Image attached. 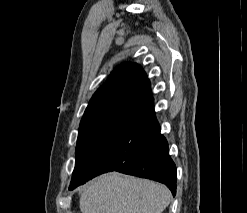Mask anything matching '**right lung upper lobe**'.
<instances>
[{
  "instance_id": "obj_1",
  "label": "right lung upper lobe",
  "mask_w": 247,
  "mask_h": 213,
  "mask_svg": "<svg viewBox=\"0 0 247 213\" xmlns=\"http://www.w3.org/2000/svg\"><path fill=\"white\" fill-rule=\"evenodd\" d=\"M151 98L150 82L144 70L136 63L117 67L91 98L81 124L97 115L123 106H130Z\"/></svg>"
}]
</instances>
